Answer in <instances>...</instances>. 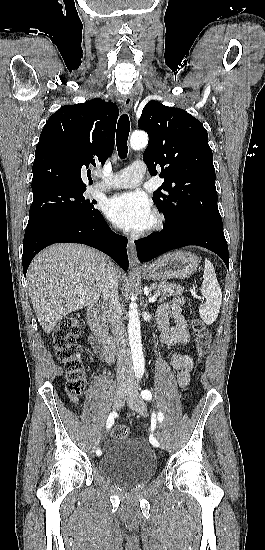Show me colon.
<instances>
[{"label": "colon", "instance_id": "1", "mask_svg": "<svg viewBox=\"0 0 265 550\" xmlns=\"http://www.w3.org/2000/svg\"><path fill=\"white\" fill-rule=\"evenodd\" d=\"M192 328L195 336L196 356L201 359L209 350L211 334L200 320L193 321ZM79 334V315L76 313L61 319L52 333L53 348L57 359L65 366L67 392L73 401L78 400L86 385L84 363L80 355V346L77 343ZM111 434L115 439H125L131 433L126 426H116Z\"/></svg>", "mask_w": 265, "mask_h": 550}]
</instances>
